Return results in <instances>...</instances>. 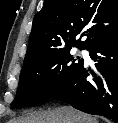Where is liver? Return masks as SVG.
<instances>
[{"label":"liver","instance_id":"6515ba94","mask_svg":"<svg viewBox=\"0 0 118 123\" xmlns=\"http://www.w3.org/2000/svg\"><path fill=\"white\" fill-rule=\"evenodd\" d=\"M9 123H98L97 119L80 112L71 106H62L53 110L29 112Z\"/></svg>","mask_w":118,"mask_h":123}]
</instances>
